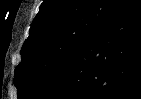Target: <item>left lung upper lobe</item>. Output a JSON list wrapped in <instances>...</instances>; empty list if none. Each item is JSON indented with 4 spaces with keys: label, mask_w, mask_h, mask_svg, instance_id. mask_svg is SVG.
Returning <instances> with one entry per match:
<instances>
[{
    "label": "left lung upper lobe",
    "mask_w": 141,
    "mask_h": 99,
    "mask_svg": "<svg viewBox=\"0 0 141 99\" xmlns=\"http://www.w3.org/2000/svg\"><path fill=\"white\" fill-rule=\"evenodd\" d=\"M121 0H44L15 69L18 99H37L55 84L84 42Z\"/></svg>",
    "instance_id": "left-lung-upper-lobe-1"
}]
</instances>
